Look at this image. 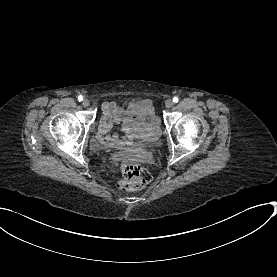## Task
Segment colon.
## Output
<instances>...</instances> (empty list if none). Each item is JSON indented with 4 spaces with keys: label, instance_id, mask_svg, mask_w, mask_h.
<instances>
[{
    "label": "colon",
    "instance_id": "obj_1",
    "mask_svg": "<svg viewBox=\"0 0 277 277\" xmlns=\"http://www.w3.org/2000/svg\"><path fill=\"white\" fill-rule=\"evenodd\" d=\"M120 175L123 179L118 183V188L122 191L152 189L157 184V177L154 173L133 163L123 164L120 168Z\"/></svg>",
    "mask_w": 277,
    "mask_h": 277
}]
</instances>
